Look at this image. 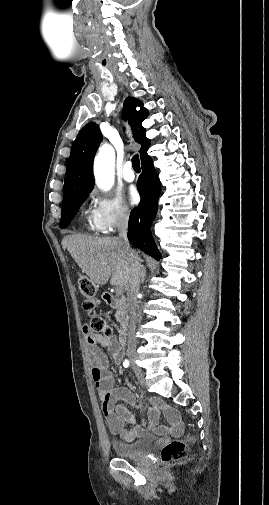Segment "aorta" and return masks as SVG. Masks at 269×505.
Here are the masks:
<instances>
[{"instance_id": "aorta-1", "label": "aorta", "mask_w": 269, "mask_h": 505, "mask_svg": "<svg viewBox=\"0 0 269 505\" xmlns=\"http://www.w3.org/2000/svg\"><path fill=\"white\" fill-rule=\"evenodd\" d=\"M96 185L102 191H109L115 181V151L110 145L100 147L94 159Z\"/></svg>"}]
</instances>
